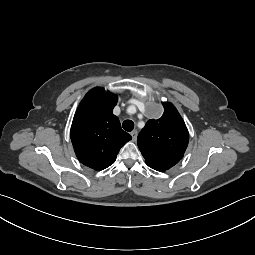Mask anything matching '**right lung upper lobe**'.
Masks as SVG:
<instances>
[{"instance_id": "right-lung-upper-lobe-1", "label": "right lung upper lobe", "mask_w": 255, "mask_h": 255, "mask_svg": "<svg viewBox=\"0 0 255 255\" xmlns=\"http://www.w3.org/2000/svg\"><path fill=\"white\" fill-rule=\"evenodd\" d=\"M117 100L115 94L93 88L80 102L72 122L70 136L77 158L97 171L113 164L120 148L132 139L112 113Z\"/></svg>"}]
</instances>
